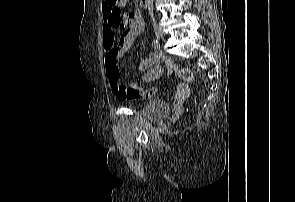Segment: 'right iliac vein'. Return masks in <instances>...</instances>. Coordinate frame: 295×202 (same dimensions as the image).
I'll return each instance as SVG.
<instances>
[{"instance_id":"obj_1","label":"right iliac vein","mask_w":295,"mask_h":202,"mask_svg":"<svg viewBox=\"0 0 295 202\" xmlns=\"http://www.w3.org/2000/svg\"><path fill=\"white\" fill-rule=\"evenodd\" d=\"M154 33L158 39H163L164 34L162 29L158 25H154Z\"/></svg>"}]
</instances>
